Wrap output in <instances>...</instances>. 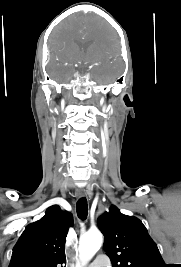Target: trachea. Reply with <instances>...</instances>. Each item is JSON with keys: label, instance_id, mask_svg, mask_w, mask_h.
<instances>
[{"label": "trachea", "instance_id": "1", "mask_svg": "<svg viewBox=\"0 0 181 267\" xmlns=\"http://www.w3.org/2000/svg\"><path fill=\"white\" fill-rule=\"evenodd\" d=\"M77 215L81 220H85L88 215V204L86 198H81L78 200L77 205Z\"/></svg>", "mask_w": 181, "mask_h": 267}]
</instances>
